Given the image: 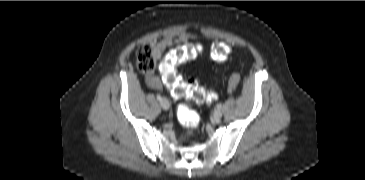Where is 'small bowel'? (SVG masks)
<instances>
[{
    "mask_svg": "<svg viewBox=\"0 0 365 180\" xmlns=\"http://www.w3.org/2000/svg\"><path fill=\"white\" fill-rule=\"evenodd\" d=\"M189 38H191V35L189 33L182 32L178 35L177 38L168 37L166 39H163V40L155 43L153 45V49H154L156 58H158V59L161 58L168 49L173 48L176 45L183 44ZM169 53L167 54V56L169 55ZM146 82L150 87L155 88V89H160L162 87L161 79L154 75L148 76L146 78Z\"/></svg>",
    "mask_w": 365,
    "mask_h": 180,
    "instance_id": "small-bowel-1",
    "label": "small bowel"
}]
</instances>
